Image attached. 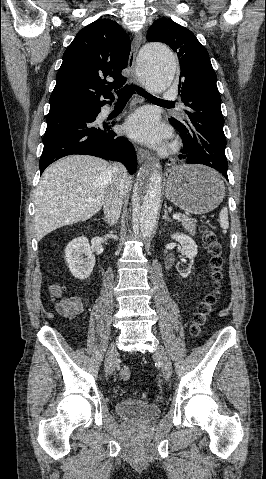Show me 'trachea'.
I'll use <instances>...</instances> for the list:
<instances>
[{
    "mask_svg": "<svg viewBox=\"0 0 266 479\" xmlns=\"http://www.w3.org/2000/svg\"><path fill=\"white\" fill-rule=\"evenodd\" d=\"M135 91H137L139 94H141L143 97H145L147 99H150V100H153V101H156V102L173 104V102L159 99V98L151 95L150 93H148L144 89L140 88L139 86H136V85H133V84L126 85L125 87H123L122 89H120L116 92L117 96H118V101L129 100L131 98V96L135 93Z\"/></svg>",
    "mask_w": 266,
    "mask_h": 479,
    "instance_id": "1",
    "label": "trachea"
}]
</instances>
